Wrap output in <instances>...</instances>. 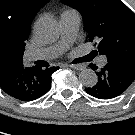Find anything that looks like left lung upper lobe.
Segmentation results:
<instances>
[{
    "label": "left lung upper lobe",
    "instance_id": "left-lung-upper-lobe-1",
    "mask_svg": "<svg viewBox=\"0 0 135 135\" xmlns=\"http://www.w3.org/2000/svg\"><path fill=\"white\" fill-rule=\"evenodd\" d=\"M78 10L100 55L135 71V14L121 0H61Z\"/></svg>",
    "mask_w": 135,
    "mask_h": 135
}]
</instances>
